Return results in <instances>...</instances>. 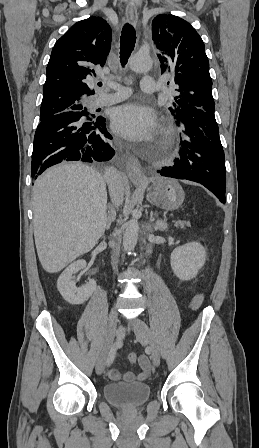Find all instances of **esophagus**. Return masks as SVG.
I'll return each instance as SVG.
<instances>
[{"label": "esophagus", "mask_w": 259, "mask_h": 448, "mask_svg": "<svg viewBox=\"0 0 259 448\" xmlns=\"http://www.w3.org/2000/svg\"><path fill=\"white\" fill-rule=\"evenodd\" d=\"M126 18L133 25L137 23V9L133 2H129L126 6ZM126 171L132 183L140 184L144 181V174L141 163L138 158L132 154L128 158Z\"/></svg>", "instance_id": "obj_1"}]
</instances>
